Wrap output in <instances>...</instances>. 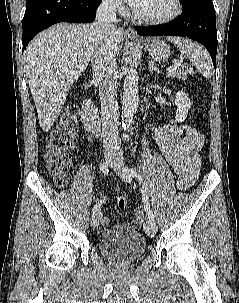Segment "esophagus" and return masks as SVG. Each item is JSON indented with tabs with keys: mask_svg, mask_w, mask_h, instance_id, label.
<instances>
[{
	"mask_svg": "<svg viewBox=\"0 0 239 303\" xmlns=\"http://www.w3.org/2000/svg\"><path fill=\"white\" fill-rule=\"evenodd\" d=\"M125 37L133 40H139L138 35L136 34L135 30L133 27L129 26L126 28L124 32Z\"/></svg>",
	"mask_w": 239,
	"mask_h": 303,
	"instance_id": "obj_1",
	"label": "esophagus"
}]
</instances>
